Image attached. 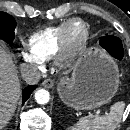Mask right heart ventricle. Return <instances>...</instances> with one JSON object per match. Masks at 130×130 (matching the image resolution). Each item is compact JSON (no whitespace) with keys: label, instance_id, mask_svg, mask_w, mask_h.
Here are the masks:
<instances>
[{"label":"right heart ventricle","instance_id":"e07e8e85","mask_svg":"<svg viewBox=\"0 0 130 130\" xmlns=\"http://www.w3.org/2000/svg\"><path fill=\"white\" fill-rule=\"evenodd\" d=\"M69 21L31 34L25 42L29 54L39 62L49 60L56 55L60 48L62 34Z\"/></svg>","mask_w":130,"mask_h":130}]
</instances>
